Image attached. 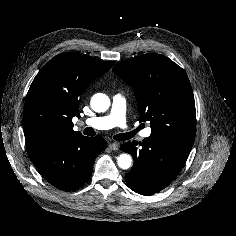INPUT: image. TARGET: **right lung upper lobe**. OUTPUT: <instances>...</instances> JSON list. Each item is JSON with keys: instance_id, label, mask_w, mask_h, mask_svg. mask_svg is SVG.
Instances as JSON below:
<instances>
[{"instance_id": "obj_1", "label": "right lung upper lobe", "mask_w": 236, "mask_h": 236, "mask_svg": "<svg viewBox=\"0 0 236 236\" xmlns=\"http://www.w3.org/2000/svg\"><path fill=\"white\" fill-rule=\"evenodd\" d=\"M114 61H100L80 53H61L39 71L24 106V135L28 155L54 146L71 136L72 118L80 117L79 98L93 79L107 72Z\"/></svg>"}]
</instances>
